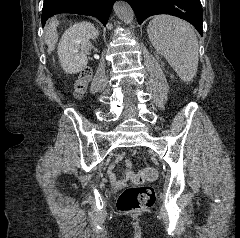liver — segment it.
<instances>
[{"label": "liver", "mask_w": 240, "mask_h": 238, "mask_svg": "<svg viewBox=\"0 0 240 238\" xmlns=\"http://www.w3.org/2000/svg\"><path fill=\"white\" fill-rule=\"evenodd\" d=\"M59 22L57 20H52L49 23V26L45 32V43L48 46V53L50 54L54 48L56 43L58 42V34H57V26Z\"/></svg>", "instance_id": "6515ba94"}]
</instances>
